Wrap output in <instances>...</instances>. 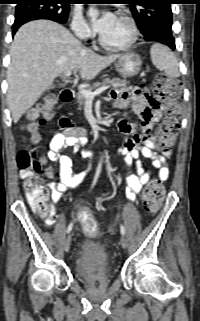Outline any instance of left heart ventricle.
I'll use <instances>...</instances> for the list:
<instances>
[{"instance_id": "obj_1", "label": "left heart ventricle", "mask_w": 200, "mask_h": 321, "mask_svg": "<svg viewBox=\"0 0 200 321\" xmlns=\"http://www.w3.org/2000/svg\"><path fill=\"white\" fill-rule=\"evenodd\" d=\"M101 35L110 45H123L131 37V27L127 21L117 16L112 25Z\"/></svg>"}]
</instances>
